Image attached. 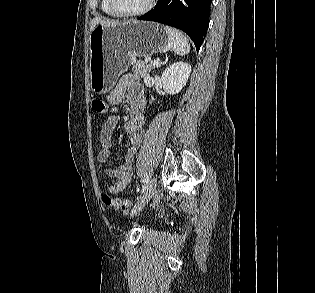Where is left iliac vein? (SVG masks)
Returning <instances> with one entry per match:
<instances>
[{
  "instance_id": "4c4485c4",
  "label": "left iliac vein",
  "mask_w": 315,
  "mask_h": 293,
  "mask_svg": "<svg viewBox=\"0 0 315 293\" xmlns=\"http://www.w3.org/2000/svg\"><path fill=\"white\" fill-rule=\"evenodd\" d=\"M157 187V179L154 177L147 186L146 191L140 200L135 204L133 209L131 210V216L137 215L143 207L150 201V199L154 196Z\"/></svg>"
}]
</instances>
